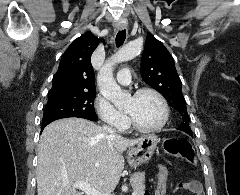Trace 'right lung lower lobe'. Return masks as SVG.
<instances>
[{
    "instance_id": "obj_1",
    "label": "right lung lower lobe",
    "mask_w": 240,
    "mask_h": 195,
    "mask_svg": "<svg viewBox=\"0 0 240 195\" xmlns=\"http://www.w3.org/2000/svg\"><path fill=\"white\" fill-rule=\"evenodd\" d=\"M80 118L89 119V120H91V121H96V120H97L96 118H88V117H80ZM48 124H49V123H48ZM48 124L42 125L41 132L43 131L44 127L47 126Z\"/></svg>"
}]
</instances>
